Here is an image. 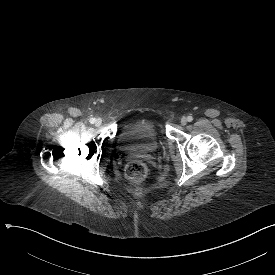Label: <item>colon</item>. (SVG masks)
Listing matches in <instances>:
<instances>
[{
  "mask_svg": "<svg viewBox=\"0 0 275 275\" xmlns=\"http://www.w3.org/2000/svg\"><path fill=\"white\" fill-rule=\"evenodd\" d=\"M126 173L129 178L140 180L147 174V166L142 161H132L126 167Z\"/></svg>",
  "mask_w": 275,
  "mask_h": 275,
  "instance_id": "colon-1",
  "label": "colon"
}]
</instances>
